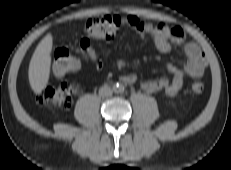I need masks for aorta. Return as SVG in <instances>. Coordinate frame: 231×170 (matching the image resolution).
I'll return each mask as SVG.
<instances>
[{"instance_id": "1", "label": "aorta", "mask_w": 231, "mask_h": 170, "mask_svg": "<svg viewBox=\"0 0 231 170\" xmlns=\"http://www.w3.org/2000/svg\"><path fill=\"white\" fill-rule=\"evenodd\" d=\"M124 91V86L121 84H117L114 86V92L115 93H122Z\"/></svg>"}]
</instances>
